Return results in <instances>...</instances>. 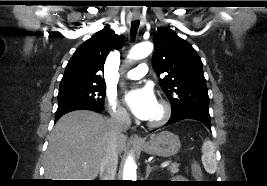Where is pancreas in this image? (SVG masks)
I'll use <instances>...</instances> for the list:
<instances>
[{
	"label": "pancreas",
	"mask_w": 267,
	"mask_h": 186,
	"mask_svg": "<svg viewBox=\"0 0 267 186\" xmlns=\"http://www.w3.org/2000/svg\"><path fill=\"white\" fill-rule=\"evenodd\" d=\"M168 170L170 171L171 174H176L179 172V164L178 163H172L169 167Z\"/></svg>",
	"instance_id": "obj_1"
}]
</instances>
